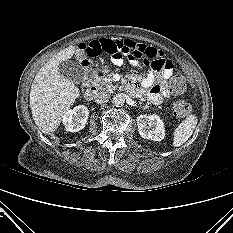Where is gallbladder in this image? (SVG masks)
<instances>
[{"mask_svg": "<svg viewBox=\"0 0 233 233\" xmlns=\"http://www.w3.org/2000/svg\"><path fill=\"white\" fill-rule=\"evenodd\" d=\"M58 71L66 79L74 83H80L84 77L82 67L72 60L61 62L58 65Z\"/></svg>", "mask_w": 233, "mask_h": 233, "instance_id": "gallbladder-1", "label": "gallbladder"}]
</instances>
